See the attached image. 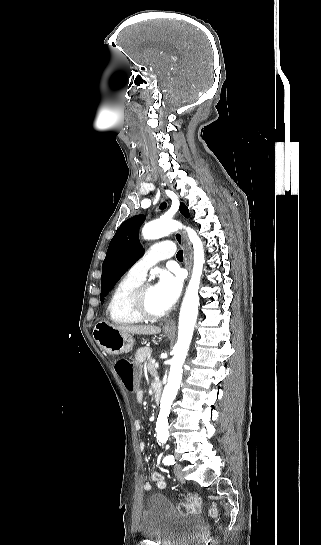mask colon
<instances>
[{"label":"colon","instance_id":"obj_1","mask_svg":"<svg viewBox=\"0 0 321 545\" xmlns=\"http://www.w3.org/2000/svg\"><path fill=\"white\" fill-rule=\"evenodd\" d=\"M114 367L125 388L128 391H134L136 388V371L133 364L126 359H120L115 363ZM179 511L182 513H199L201 506L196 498L189 496L179 505ZM210 514L214 517L217 516L216 506H211Z\"/></svg>","mask_w":321,"mask_h":545}]
</instances>
